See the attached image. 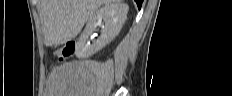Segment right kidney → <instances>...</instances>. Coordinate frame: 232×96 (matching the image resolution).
I'll use <instances>...</instances> for the list:
<instances>
[{
	"label": "right kidney",
	"instance_id": "obj_1",
	"mask_svg": "<svg viewBox=\"0 0 232 96\" xmlns=\"http://www.w3.org/2000/svg\"><path fill=\"white\" fill-rule=\"evenodd\" d=\"M128 5L118 0H112L98 9L88 20L87 25L75 46L76 55L80 58H89L110 43L120 32L128 13ZM102 20L104 24H102ZM101 26V36L93 44L88 38Z\"/></svg>",
	"mask_w": 232,
	"mask_h": 96
}]
</instances>
